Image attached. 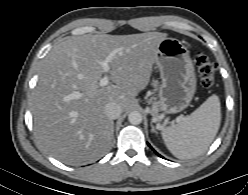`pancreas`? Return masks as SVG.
Returning <instances> with one entry per match:
<instances>
[{"instance_id": "cf45deb5", "label": "pancreas", "mask_w": 248, "mask_h": 195, "mask_svg": "<svg viewBox=\"0 0 248 195\" xmlns=\"http://www.w3.org/2000/svg\"><path fill=\"white\" fill-rule=\"evenodd\" d=\"M151 113H152V115L157 116V113H158L157 103H154Z\"/></svg>"}]
</instances>
